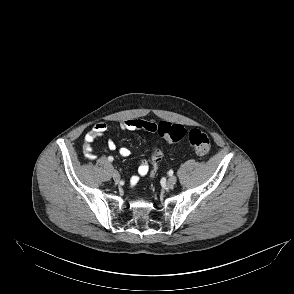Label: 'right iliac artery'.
<instances>
[{"label":"right iliac artery","mask_w":294,"mask_h":294,"mask_svg":"<svg viewBox=\"0 0 294 294\" xmlns=\"http://www.w3.org/2000/svg\"><path fill=\"white\" fill-rule=\"evenodd\" d=\"M108 160L112 162L114 160V158L112 156H109Z\"/></svg>","instance_id":"obj_1"}]
</instances>
